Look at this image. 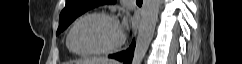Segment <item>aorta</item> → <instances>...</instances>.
Here are the masks:
<instances>
[{"label":"aorta","instance_id":"1","mask_svg":"<svg viewBox=\"0 0 242 64\" xmlns=\"http://www.w3.org/2000/svg\"><path fill=\"white\" fill-rule=\"evenodd\" d=\"M161 0H144L132 64H141L153 38Z\"/></svg>","mask_w":242,"mask_h":64}]
</instances>
